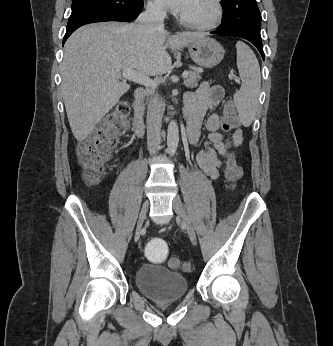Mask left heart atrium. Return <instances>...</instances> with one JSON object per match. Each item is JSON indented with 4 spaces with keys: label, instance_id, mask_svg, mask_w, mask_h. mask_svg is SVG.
<instances>
[{
    "label": "left heart atrium",
    "instance_id": "obj_1",
    "mask_svg": "<svg viewBox=\"0 0 333 346\" xmlns=\"http://www.w3.org/2000/svg\"><path fill=\"white\" fill-rule=\"evenodd\" d=\"M160 2L170 11L182 15L191 0H160Z\"/></svg>",
    "mask_w": 333,
    "mask_h": 346
}]
</instances>
